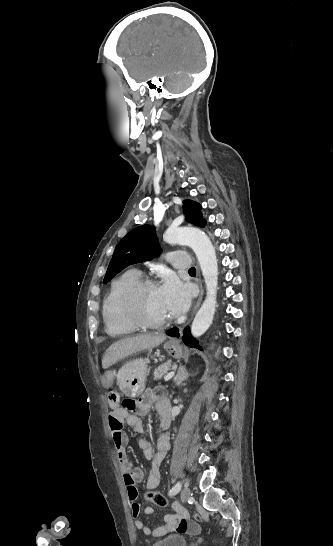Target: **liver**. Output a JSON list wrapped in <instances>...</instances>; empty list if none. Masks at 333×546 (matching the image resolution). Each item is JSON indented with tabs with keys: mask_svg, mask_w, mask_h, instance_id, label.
<instances>
[{
	"mask_svg": "<svg viewBox=\"0 0 333 546\" xmlns=\"http://www.w3.org/2000/svg\"><path fill=\"white\" fill-rule=\"evenodd\" d=\"M165 339L164 334L139 335L122 339L106 350L102 359V367L106 369L133 353L158 347Z\"/></svg>",
	"mask_w": 333,
	"mask_h": 546,
	"instance_id": "liver-1",
	"label": "liver"
}]
</instances>
